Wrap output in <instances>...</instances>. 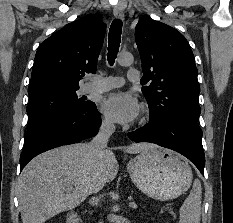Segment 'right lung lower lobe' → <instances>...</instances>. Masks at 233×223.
Returning a JSON list of instances; mask_svg holds the SVG:
<instances>
[{
	"instance_id": "98d812e1",
	"label": "right lung lower lobe",
	"mask_w": 233,
	"mask_h": 223,
	"mask_svg": "<svg viewBox=\"0 0 233 223\" xmlns=\"http://www.w3.org/2000/svg\"><path fill=\"white\" fill-rule=\"evenodd\" d=\"M101 125L100 114L95 103L43 122L27 130L25 145L20 156V171L38 154L66 144L80 142L96 135Z\"/></svg>"
}]
</instances>
